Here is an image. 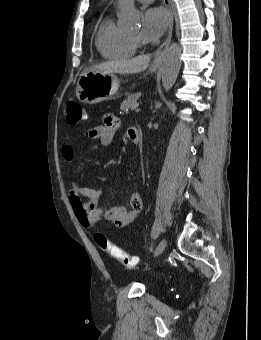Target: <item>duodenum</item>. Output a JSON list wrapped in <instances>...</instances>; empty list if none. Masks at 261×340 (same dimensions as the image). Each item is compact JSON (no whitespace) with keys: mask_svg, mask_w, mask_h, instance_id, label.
Segmentation results:
<instances>
[{"mask_svg":"<svg viewBox=\"0 0 261 340\" xmlns=\"http://www.w3.org/2000/svg\"><path fill=\"white\" fill-rule=\"evenodd\" d=\"M130 132H131V139H132V141L134 143H137L139 141V139H140L138 129L136 127H134V128H132L130 130Z\"/></svg>","mask_w":261,"mask_h":340,"instance_id":"obj_1","label":"duodenum"}]
</instances>
